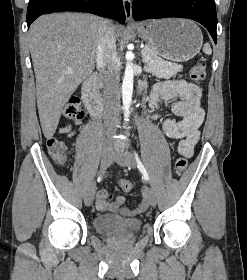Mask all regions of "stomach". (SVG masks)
<instances>
[{
    "mask_svg": "<svg viewBox=\"0 0 247 280\" xmlns=\"http://www.w3.org/2000/svg\"><path fill=\"white\" fill-rule=\"evenodd\" d=\"M137 33L158 56L178 63L195 57L203 44L200 28L187 19L147 21L137 28Z\"/></svg>",
    "mask_w": 247,
    "mask_h": 280,
    "instance_id": "0dacf381",
    "label": "stomach"
}]
</instances>
